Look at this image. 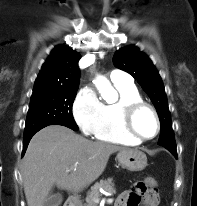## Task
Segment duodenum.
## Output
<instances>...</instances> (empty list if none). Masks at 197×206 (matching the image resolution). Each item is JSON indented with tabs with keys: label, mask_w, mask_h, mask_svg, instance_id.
I'll return each instance as SVG.
<instances>
[{
	"label": "duodenum",
	"mask_w": 197,
	"mask_h": 206,
	"mask_svg": "<svg viewBox=\"0 0 197 206\" xmlns=\"http://www.w3.org/2000/svg\"><path fill=\"white\" fill-rule=\"evenodd\" d=\"M75 204H76V198L70 197L65 206H75Z\"/></svg>",
	"instance_id": "duodenum-1"
}]
</instances>
